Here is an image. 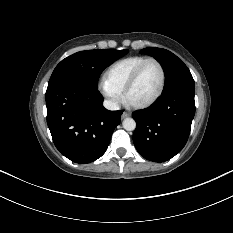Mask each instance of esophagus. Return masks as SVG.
Returning a JSON list of instances; mask_svg holds the SVG:
<instances>
[{"mask_svg": "<svg viewBox=\"0 0 233 233\" xmlns=\"http://www.w3.org/2000/svg\"><path fill=\"white\" fill-rule=\"evenodd\" d=\"M130 116V113L128 112H123L122 115H121V118L124 119V118H127Z\"/></svg>", "mask_w": 233, "mask_h": 233, "instance_id": "34e87169", "label": "esophagus"}]
</instances>
